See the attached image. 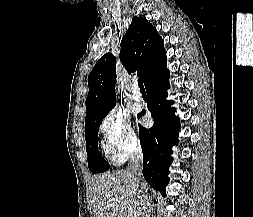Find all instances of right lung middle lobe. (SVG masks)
<instances>
[{
    "instance_id": "obj_1",
    "label": "right lung middle lobe",
    "mask_w": 253,
    "mask_h": 217,
    "mask_svg": "<svg viewBox=\"0 0 253 217\" xmlns=\"http://www.w3.org/2000/svg\"><path fill=\"white\" fill-rule=\"evenodd\" d=\"M109 111L85 122V139L86 151L88 155V167L93 174L104 172L110 168V165L102 158L101 154L99 153L97 142L98 128L103 118Z\"/></svg>"
}]
</instances>
